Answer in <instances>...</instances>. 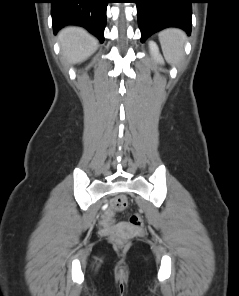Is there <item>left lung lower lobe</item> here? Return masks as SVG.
I'll list each match as a JSON object with an SVG mask.
<instances>
[{
    "label": "left lung lower lobe",
    "instance_id": "obj_1",
    "mask_svg": "<svg viewBox=\"0 0 239 296\" xmlns=\"http://www.w3.org/2000/svg\"><path fill=\"white\" fill-rule=\"evenodd\" d=\"M141 42L167 27H178L191 33V4L194 0H135Z\"/></svg>",
    "mask_w": 239,
    "mask_h": 296
}]
</instances>
